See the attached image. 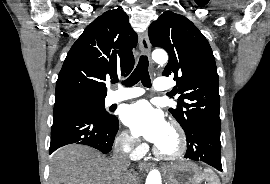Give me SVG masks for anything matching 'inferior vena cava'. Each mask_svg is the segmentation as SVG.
<instances>
[{"instance_id": "602c4592", "label": "inferior vena cava", "mask_w": 270, "mask_h": 184, "mask_svg": "<svg viewBox=\"0 0 270 184\" xmlns=\"http://www.w3.org/2000/svg\"><path fill=\"white\" fill-rule=\"evenodd\" d=\"M135 144V141L132 139L123 140L117 142L115 144V150L113 159L111 163L115 165L117 168L127 170L130 165V161L128 160V153L124 151V147L127 146L128 148L132 147Z\"/></svg>"}]
</instances>
